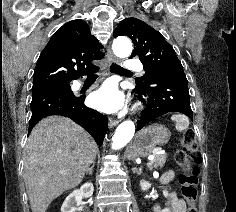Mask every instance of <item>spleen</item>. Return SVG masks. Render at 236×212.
<instances>
[{
	"mask_svg": "<svg viewBox=\"0 0 236 212\" xmlns=\"http://www.w3.org/2000/svg\"><path fill=\"white\" fill-rule=\"evenodd\" d=\"M171 119L175 122V127L177 131L186 130L189 126V119L183 114H174Z\"/></svg>",
	"mask_w": 236,
	"mask_h": 212,
	"instance_id": "obj_1",
	"label": "spleen"
}]
</instances>
